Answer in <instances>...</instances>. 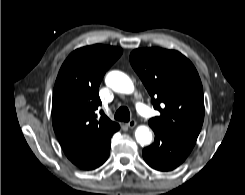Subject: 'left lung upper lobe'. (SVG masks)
<instances>
[{
  "mask_svg": "<svg viewBox=\"0 0 245 195\" xmlns=\"http://www.w3.org/2000/svg\"><path fill=\"white\" fill-rule=\"evenodd\" d=\"M130 63L161 113L149 120L150 127L196 141L204 120V100L193 64L180 52L161 48L136 49Z\"/></svg>",
  "mask_w": 245,
  "mask_h": 195,
  "instance_id": "5c2ea615",
  "label": "left lung upper lobe"
}]
</instances>
